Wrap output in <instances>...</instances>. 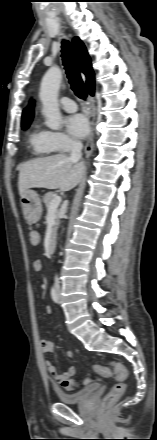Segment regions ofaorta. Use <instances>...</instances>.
I'll return each instance as SVG.
<instances>
[{
	"mask_svg": "<svg viewBox=\"0 0 157 440\" xmlns=\"http://www.w3.org/2000/svg\"><path fill=\"white\" fill-rule=\"evenodd\" d=\"M62 80V71L58 67H51L44 75L39 97L42 102V113L50 129L58 130L61 127L62 117L58 104V91Z\"/></svg>",
	"mask_w": 157,
	"mask_h": 440,
	"instance_id": "762f6f07",
	"label": "aorta"
}]
</instances>
